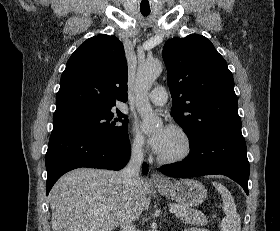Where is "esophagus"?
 I'll return each mask as SVG.
<instances>
[{
    "label": "esophagus",
    "instance_id": "obj_1",
    "mask_svg": "<svg viewBox=\"0 0 280 231\" xmlns=\"http://www.w3.org/2000/svg\"><path fill=\"white\" fill-rule=\"evenodd\" d=\"M165 179H166L165 176H163V175H161V174H159L157 172H153L151 174V177H150V181H163Z\"/></svg>",
    "mask_w": 280,
    "mask_h": 231
}]
</instances>
